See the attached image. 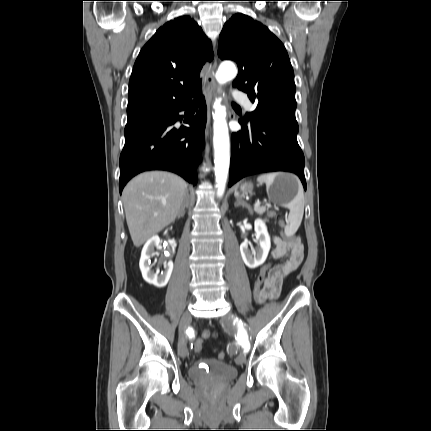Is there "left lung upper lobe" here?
I'll list each match as a JSON object with an SVG mask.
<instances>
[{
	"mask_svg": "<svg viewBox=\"0 0 431 431\" xmlns=\"http://www.w3.org/2000/svg\"><path fill=\"white\" fill-rule=\"evenodd\" d=\"M218 55L236 61L239 72L233 86L257 104L246 121L272 116L297 123L293 68L284 45L267 27L234 15L220 34Z\"/></svg>",
	"mask_w": 431,
	"mask_h": 431,
	"instance_id": "left-lung-upper-lobe-1",
	"label": "left lung upper lobe"
}]
</instances>
